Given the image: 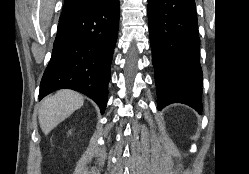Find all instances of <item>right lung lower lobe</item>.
Instances as JSON below:
<instances>
[{
    "instance_id": "1",
    "label": "right lung lower lobe",
    "mask_w": 249,
    "mask_h": 174,
    "mask_svg": "<svg viewBox=\"0 0 249 174\" xmlns=\"http://www.w3.org/2000/svg\"><path fill=\"white\" fill-rule=\"evenodd\" d=\"M118 28L119 0L60 16L39 99L55 90L69 88L93 99L103 114Z\"/></svg>"
}]
</instances>
